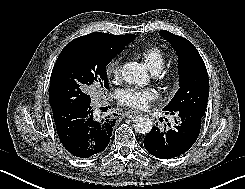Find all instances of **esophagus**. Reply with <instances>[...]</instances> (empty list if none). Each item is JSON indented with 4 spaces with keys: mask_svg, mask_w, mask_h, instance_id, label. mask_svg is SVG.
I'll use <instances>...</instances> for the list:
<instances>
[{
    "mask_svg": "<svg viewBox=\"0 0 245 189\" xmlns=\"http://www.w3.org/2000/svg\"><path fill=\"white\" fill-rule=\"evenodd\" d=\"M139 113L137 111L129 110L126 112V117L129 119H134Z\"/></svg>",
    "mask_w": 245,
    "mask_h": 189,
    "instance_id": "34e87169",
    "label": "esophagus"
}]
</instances>
